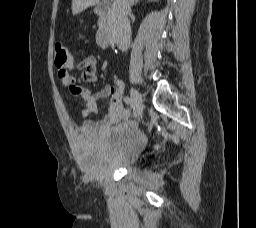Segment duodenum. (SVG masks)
<instances>
[{"instance_id": "obj_1", "label": "duodenum", "mask_w": 256, "mask_h": 228, "mask_svg": "<svg viewBox=\"0 0 256 228\" xmlns=\"http://www.w3.org/2000/svg\"><path fill=\"white\" fill-rule=\"evenodd\" d=\"M95 13L99 17L100 26L96 36L99 46L106 48L112 44V9L109 0L95 5Z\"/></svg>"}]
</instances>
